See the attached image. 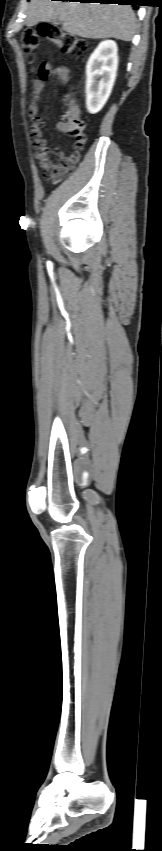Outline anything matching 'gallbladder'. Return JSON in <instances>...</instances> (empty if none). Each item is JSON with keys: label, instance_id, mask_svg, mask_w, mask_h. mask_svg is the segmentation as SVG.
<instances>
[{"label": "gallbladder", "instance_id": "bac80fb5", "mask_svg": "<svg viewBox=\"0 0 162 851\" xmlns=\"http://www.w3.org/2000/svg\"><path fill=\"white\" fill-rule=\"evenodd\" d=\"M51 22H52L53 24H60V23H61L60 19H58V18L53 19Z\"/></svg>", "mask_w": 162, "mask_h": 851}]
</instances>
